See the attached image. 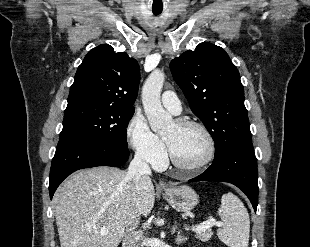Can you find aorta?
Here are the masks:
<instances>
[{"label": "aorta", "instance_id": "aorta-1", "mask_svg": "<svg viewBox=\"0 0 310 247\" xmlns=\"http://www.w3.org/2000/svg\"><path fill=\"white\" fill-rule=\"evenodd\" d=\"M164 79V73L156 69L148 76L142 88L145 114L152 131L156 133L167 130L173 122L172 116L163 109L160 101Z\"/></svg>", "mask_w": 310, "mask_h": 247}]
</instances>
